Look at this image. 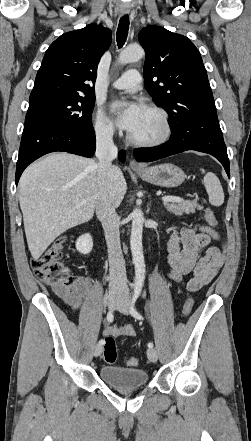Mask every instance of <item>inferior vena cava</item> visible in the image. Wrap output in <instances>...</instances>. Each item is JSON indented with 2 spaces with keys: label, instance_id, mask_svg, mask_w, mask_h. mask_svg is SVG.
<instances>
[{
  "label": "inferior vena cava",
  "instance_id": "inferior-vena-cava-1",
  "mask_svg": "<svg viewBox=\"0 0 251 441\" xmlns=\"http://www.w3.org/2000/svg\"><path fill=\"white\" fill-rule=\"evenodd\" d=\"M98 193L96 215L101 221L108 247L110 270L109 293H122L127 289L125 262L120 244L119 217L113 196L109 193L112 161L118 149L113 143V130L105 129L96 136Z\"/></svg>",
  "mask_w": 251,
  "mask_h": 441
}]
</instances>
